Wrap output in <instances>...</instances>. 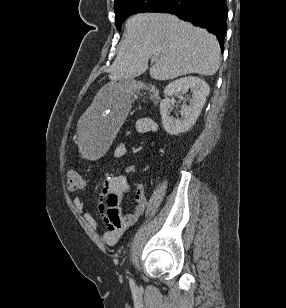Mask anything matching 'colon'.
Here are the masks:
<instances>
[{"instance_id":"obj_1","label":"colon","mask_w":286,"mask_h":308,"mask_svg":"<svg viewBox=\"0 0 286 308\" xmlns=\"http://www.w3.org/2000/svg\"><path fill=\"white\" fill-rule=\"evenodd\" d=\"M67 185L71 190L82 189L85 186V181L82 175L74 170L68 169L66 171Z\"/></svg>"}]
</instances>
